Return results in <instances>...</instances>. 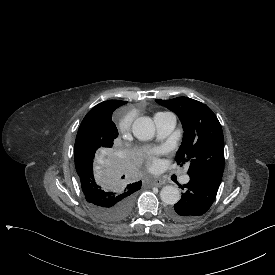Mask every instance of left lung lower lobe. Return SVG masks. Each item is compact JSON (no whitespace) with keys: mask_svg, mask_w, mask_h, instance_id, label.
<instances>
[{"mask_svg":"<svg viewBox=\"0 0 275 275\" xmlns=\"http://www.w3.org/2000/svg\"><path fill=\"white\" fill-rule=\"evenodd\" d=\"M220 182L200 176H190V181L180 185L185 191L174 207L167 210L168 216L178 222H184L206 213L215 200Z\"/></svg>","mask_w":275,"mask_h":275,"instance_id":"1","label":"left lung lower lobe"}]
</instances>
